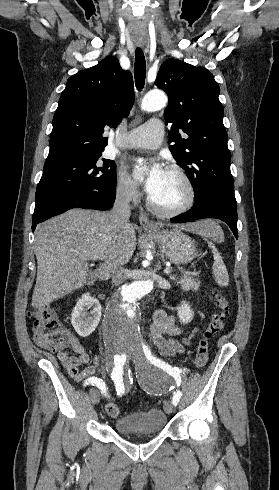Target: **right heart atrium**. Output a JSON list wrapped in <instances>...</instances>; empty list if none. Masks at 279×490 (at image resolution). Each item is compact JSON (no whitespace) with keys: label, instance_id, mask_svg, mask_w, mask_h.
Masks as SVG:
<instances>
[{"label":"right heart atrium","instance_id":"1","mask_svg":"<svg viewBox=\"0 0 279 490\" xmlns=\"http://www.w3.org/2000/svg\"><path fill=\"white\" fill-rule=\"evenodd\" d=\"M114 191L116 198L122 202H135L138 198L137 189L122 171L116 173Z\"/></svg>","mask_w":279,"mask_h":490}]
</instances>
